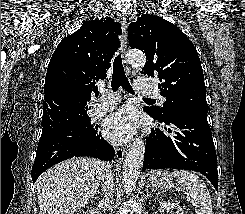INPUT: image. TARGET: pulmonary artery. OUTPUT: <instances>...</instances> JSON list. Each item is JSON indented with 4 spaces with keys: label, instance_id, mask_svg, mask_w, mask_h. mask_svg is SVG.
<instances>
[{
    "label": "pulmonary artery",
    "instance_id": "obj_1",
    "mask_svg": "<svg viewBox=\"0 0 245 214\" xmlns=\"http://www.w3.org/2000/svg\"><path fill=\"white\" fill-rule=\"evenodd\" d=\"M135 89L144 96L159 98L161 103L165 101L162 96H159L155 83L150 79L138 78L135 81ZM119 98L117 93H110L103 90L99 100L95 104L96 112L102 114L113 109L118 104Z\"/></svg>",
    "mask_w": 245,
    "mask_h": 214
}]
</instances>
